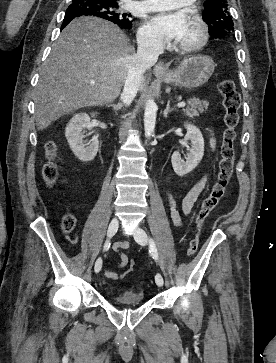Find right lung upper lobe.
I'll use <instances>...</instances> for the list:
<instances>
[{"mask_svg":"<svg viewBox=\"0 0 276 363\" xmlns=\"http://www.w3.org/2000/svg\"><path fill=\"white\" fill-rule=\"evenodd\" d=\"M101 1H106V2H113V3H117L118 0H101ZM119 26H124L125 24H121V23H116Z\"/></svg>","mask_w":276,"mask_h":363,"instance_id":"obj_1","label":"right lung upper lobe"}]
</instances>
